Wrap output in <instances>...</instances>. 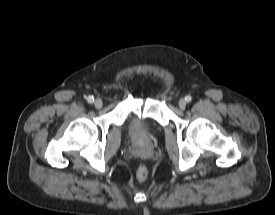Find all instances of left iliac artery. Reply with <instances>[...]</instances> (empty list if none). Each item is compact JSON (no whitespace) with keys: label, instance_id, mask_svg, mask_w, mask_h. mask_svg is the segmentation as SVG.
Returning <instances> with one entry per match:
<instances>
[{"label":"left iliac artery","instance_id":"obj_1","mask_svg":"<svg viewBox=\"0 0 275 215\" xmlns=\"http://www.w3.org/2000/svg\"><path fill=\"white\" fill-rule=\"evenodd\" d=\"M185 100H186V102H191L192 97H191L190 95H187V96L185 97Z\"/></svg>","mask_w":275,"mask_h":215}]
</instances>
